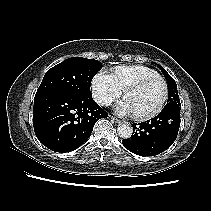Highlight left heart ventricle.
<instances>
[{"label":"left heart ventricle","mask_w":211,"mask_h":211,"mask_svg":"<svg viewBox=\"0 0 211 211\" xmlns=\"http://www.w3.org/2000/svg\"><path fill=\"white\" fill-rule=\"evenodd\" d=\"M163 96V84L160 81H155L140 90L128 93L125 99L130 103L133 114L145 115L159 106Z\"/></svg>","instance_id":"b2bd125f"}]
</instances>
